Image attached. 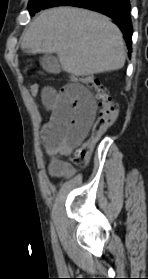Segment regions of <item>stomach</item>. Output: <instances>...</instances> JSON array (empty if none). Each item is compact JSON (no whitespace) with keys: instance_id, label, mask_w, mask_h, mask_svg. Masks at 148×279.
Returning <instances> with one entry per match:
<instances>
[{"instance_id":"obj_1","label":"stomach","mask_w":148,"mask_h":279,"mask_svg":"<svg viewBox=\"0 0 148 279\" xmlns=\"http://www.w3.org/2000/svg\"><path fill=\"white\" fill-rule=\"evenodd\" d=\"M28 63L25 65L26 69H32L28 71L29 75H46V70H41L44 68L43 64H38L37 58H28Z\"/></svg>"}]
</instances>
